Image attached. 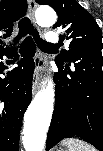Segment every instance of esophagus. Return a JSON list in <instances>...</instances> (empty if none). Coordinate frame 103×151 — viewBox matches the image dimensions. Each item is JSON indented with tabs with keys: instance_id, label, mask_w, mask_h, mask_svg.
<instances>
[{
	"instance_id": "obj_1",
	"label": "esophagus",
	"mask_w": 103,
	"mask_h": 151,
	"mask_svg": "<svg viewBox=\"0 0 103 151\" xmlns=\"http://www.w3.org/2000/svg\"><path fill=\"white\" fill-rule=\"evenodd\" d=\"M37 7V4L35 0H28V17L32 21V23H35V9ZM34 63H35V69H34V74H33V93H35L40 84V79L42 76V68L44 64V56L41 53L39 49L36 51V55L34 58Z\"/></svg>"
}]
</instances>
